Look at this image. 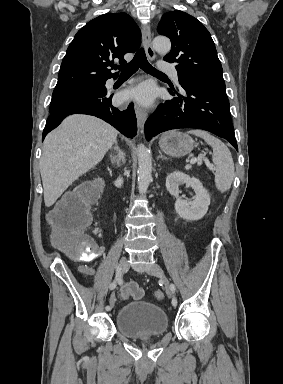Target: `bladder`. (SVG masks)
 <instances>
[{"label": "bladder", "instance_id": "1", "mask_svg": "<svg viewBox=\"0 0 283 384\" xmlns=\"http://www.w3.org/2000/svg\"><path fill=\"white\" fill-rule=\"evenodd\" d=\"M115 322L125 338L163 336L168 328V313L160 305L137 299L121 306Z\"/></svg>", "mask_w": 283, "mask_h": 384}]
</instances>
